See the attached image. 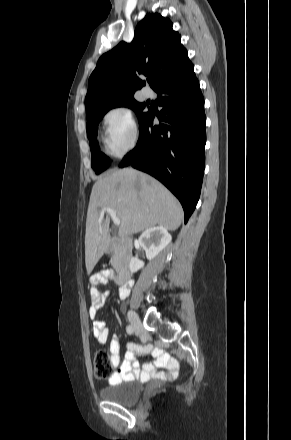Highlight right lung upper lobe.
I'll return each mask as SVG.
<instances>
[{"instance_id":"1","label":"right lung upper lobe","mask_w":291,"mask_h":440,"mask_svg":"<svg viewBox=\"0 0 291 440\" xmlns=\"http://www.w3.org/2000/svg\"><path fill=\"white\" fill-rule=\"evenodd\" d=\"M172 25L158 13L147 14L137 25L130 44L122 41L99 58L88 81L86 113L134 97L135 91L145 85L140 75L151 77L150 86L155 90L193 65Z\"/></svg>"}]
</instances>
